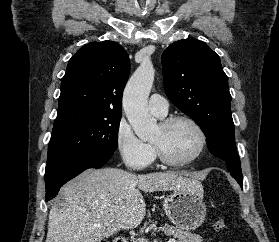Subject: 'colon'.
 <instances>
[{
  "label": "colon",
  "instance_id": "1",
  "mask_svg": "<svg viewBox=\"0 0 279 242\" xmlns=\"http://www.w3.org/2000/svg\"><path fill=\"white\" fill-rule=\"evenodd\" d=\"M214 228L218 231V232H224L226 229V222L223 219H217L214 222ZM100 242H108L106 240H102Z\"/></svg>",
  "mask_w": 279,
  "mask_h": 242
}]
</instances>
